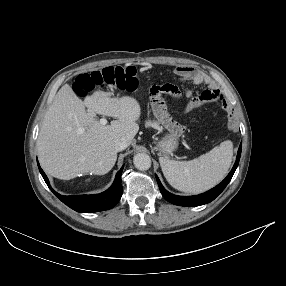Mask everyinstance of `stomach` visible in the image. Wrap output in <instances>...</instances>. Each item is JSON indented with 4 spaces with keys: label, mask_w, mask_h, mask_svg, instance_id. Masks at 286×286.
Instances as JSON below:
<instances>
[{
    "label": "stomach",
    "mask_w": 286,
    "mask_h": 286,
    "mask_svg": "<svg viewBox=\"0 0 286 286\" xmlns=\"http://www.w3.org/2000/svg\"><path fill=\"white\" fill-rule=\"evenodd\" d=\"M178 147V138L173 134H166L157 144V150L163 155L172 154Z\"/></svg>",
    "instance_id": "stomach-1"
}]
</instances>
